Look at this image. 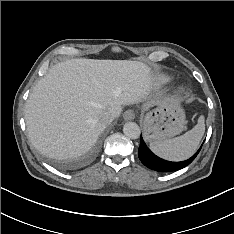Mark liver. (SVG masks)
<instances>
[{"label": "liver", "mask_w": 234, "mask_h": 234, "mask_svg": "<svg viewBox=\"0 0 234 234\" xmlns=\"http://www.w3.org/2000/svg\"><path fill=\"white\" fill-rule=\"evenodd\" d=\"M150 68L131 60L70 59L51 67L25 105L29 139L43 155L80 156L107 125L104 112H121L152 89Z\"/></svg>", "instance_id": "1"}]
</instances>
